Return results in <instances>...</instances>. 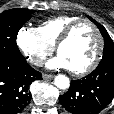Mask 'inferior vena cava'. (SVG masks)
Instances as JSON below:
<instances>
[{
  "instance_id": "inferior-vena-cava-1",
  "label": "inferior vena cava",
  "mask_w": 114,
  "mask_h": 114,
  "mask_svg": "<svg viewBox=\"0 0 114 114\" xmlns=\"http://www.w3.org/2000/svg\"><path fill=\"white\" fill-rule=\"evenodd\" d=\"M43 58L39 56H33L29 58V62L36 66H41L43 64Z\"/></svg>"
}]
</instances>
